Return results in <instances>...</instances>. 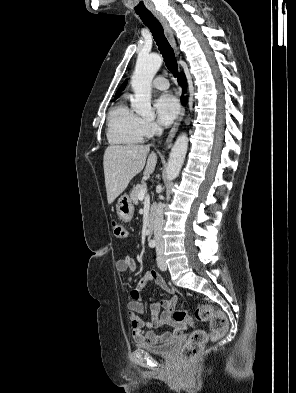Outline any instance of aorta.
<instances>
[{
	"label": "aorta",
	"mask_w": 296,
	"mask_h": 393,
	"mask_svg": "<svg viewBox=\"0 0 296 393\" xmlns=\"http://www.w3.org/2000/svg\"><path fill=\"white\" fill-rule=\"evenodd\" d=\"M162 65V58L158 54H139L135 70L131 79L134 92L132 106L141 116H151V83ZM188 149V137L182 133L175 141L168 160L166 177L174 180L181 170Z\"/></svg>",
	"instance_id": "obj_1"
}]
</instances>
